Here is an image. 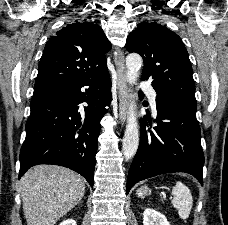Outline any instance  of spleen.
Wrapping results in <instances>:
<instances>
[{"label":"spleen","mask_w":228,"mask_h":225,"mask_svg":"<svg viewBox=\"0 0 228 225\" xmlns=\"http://www.w3.org/2000/svg\"><path fill=\"white\" fill-rule=\"evenodd\" d=\"M173 199L171 201L173 207L177 209L180 219H188L192 205L193 197L190 189L177 181L175 187L172 189Z\"/></svg>","instance_id":"obj_1"}]
</instances>
